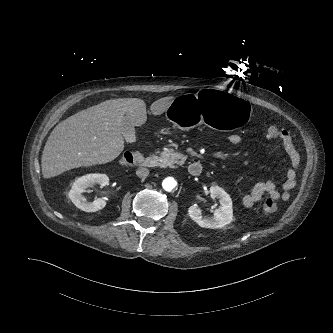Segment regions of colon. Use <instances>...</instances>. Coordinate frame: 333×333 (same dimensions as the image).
<instances>
[{
    "mask_svg": "<svg viewBox=\"0 0 333 333\" xmlns=\"http://www.w3.org/2000/svg\"><path fill=\"white\" fill-rule=\"evenodd\" d=\"M281 134V129L276 126H267L266 135L270 139H278ZM142 159V154L140 152L127 151L122 156L120 162L123 165H135L139 163ZM276 202L273 198H267L262 205V214L269 215L276 211Z\"/></svg>",
    "mask_w": 333,
    "mask_h": 333,
    "instance_id": "colon-1",
    "label": "colon"
}]
</instances>
